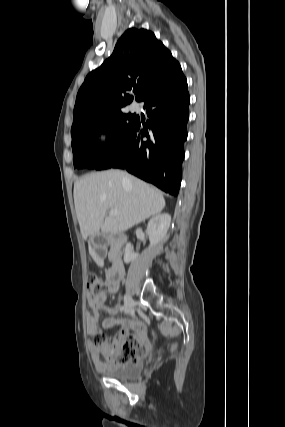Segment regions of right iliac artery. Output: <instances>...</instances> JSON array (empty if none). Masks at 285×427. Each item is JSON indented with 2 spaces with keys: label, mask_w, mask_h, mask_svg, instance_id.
Masks as SVG:
<instances>
[{
  "label": "right iliac artery",
  "mask_w": 285,
  "mask_h": 427,
  "mask_svg": "<svg viewBox=\"0 0 285 427\" xmlns=\"http://www.w3.org/2000/svg\"><path fill=\"white\" fill-rule=\"evenodd\" d=\"M123 309H124V307L122 306V307H121V310H123Z\"/></svg>",
  "instance_id": "82829eb1"
}]
</instances>
